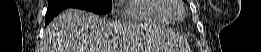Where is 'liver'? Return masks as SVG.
Instances as JSON below:
<instances>
[{
  "mask_svg": "<svg viewBox=\"0 0 261 52\" xmlns=\"http://www.w3.org/2000/svg\"><path fill=\"white\" fill-rule=\"evenodd\" d=\"M137 33L134 23L69 8L46 27L42 52H132Z\"/></svg>",
  "mask_w": 261,
  "mask_h": 52,
  "instance_id": "6515ba94",
  "label": "liver"
}]
</instances>
